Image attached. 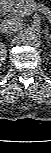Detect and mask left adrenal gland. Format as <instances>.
<instances>
[{
	"label": "left adrenal gland",
	"instance_id": "a2214340",
	"mask_svg": "<svg viewBox=\"0 0 51 153\" xmlns=\"http://www.w3.org/2000/svg\"><path fill=\"white\" fill-rule=\"evenodd\" d=\"M45 36H46V38H47V39H49V33H46V35H45Z\"/></svg>",
	"mask_w": 51,
	"mask_h": 153
}]
</instances>
